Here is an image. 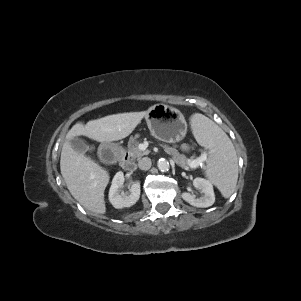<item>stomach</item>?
<instances>
[{"instance_id": "obj_1", "label": "stomach", "mask_w": 301, "mask_h": 301, "mask_svg": "<svg viewBox=\"0 0 301 301\" xmlns=\"http://www.w3.org/2000/svg\"><path fill=\"white\" fill-rule=\"evenodd\" d=\"M145 119L151 134L161 141L175 143L186 136L185 117L176 108L156 104L147 111Z\"/></svg>"}]
</instances>
